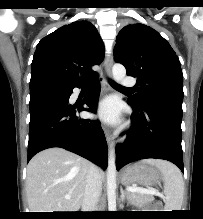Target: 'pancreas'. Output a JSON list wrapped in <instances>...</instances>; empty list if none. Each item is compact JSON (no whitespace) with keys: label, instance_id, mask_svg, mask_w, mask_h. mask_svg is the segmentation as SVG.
Masks as SVG:
<instances>
[{"label":"pancreas","instance_id":"obj_1","mask_svg":"<svg viewBox=\"0 0 203 219\" xmlns=\"http://www.w3.org/2000/svg\"><path fill=\"white\" fill-rule=\"evenodd\" d=\"M128 199L140 202V203H148L154 201L153 194H142L138 192H128Z\"/></svg>","mask_w":203,"mask_h":219}]
</instances>
